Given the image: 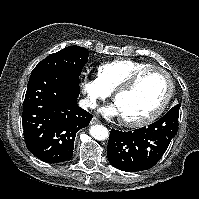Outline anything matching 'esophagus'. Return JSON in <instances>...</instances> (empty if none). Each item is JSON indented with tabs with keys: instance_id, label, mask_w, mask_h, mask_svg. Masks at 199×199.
<instances>
[{
	"instance_id": "1",
	"label": "esophagus",
	"mask_w": 199,
	"mask_h": 199,
	"mask_svg": "<svg viewBox=\"0 0 199 199\" xmlns=\"http://www.w3.org/2000/svg\"><path fill=\"white\" fill-rule=\"evenodd\" d=\"M100 123H101L100 120L96 117H93L91 122H90L91 125L100 124Z\"/></svg>"
}]
</instances>
